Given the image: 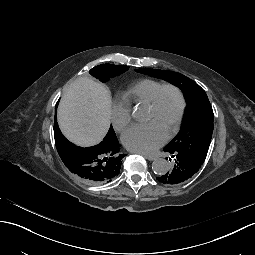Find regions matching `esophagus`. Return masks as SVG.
I'll return each mask as SVG.
<instances>
[{
    "mask_svg": "<svg viewBox=\"0 0 255 255\" xmlns=\"http://www.w3.org/2000/svg\"><path fill=\"white\" fill-rule=\"evenodd\" d=\"M131 153L142 155V156H144L146 159H148L150 161H153V160H155L157 158V156H155V155H148V154H145V153L139 152V151H132Z\"/></svg>",
    "mask_w": 255,
    "mask_h": 255,
    "instance_id": "34e87169",
    "label": "esophagus"
}]
</instances>
